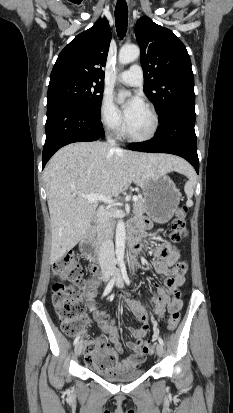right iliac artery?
Masks as SVG:
<instances>
[{"instance_id":"right-iliac-artery-1","label":"right iliac artery","mask_w":233,"mask_h":413,"mask_svg":"<svg viewBox=\"0 0 233 413\" xmlns=\"http://www.w3.org/2000/svg\"><path fill=\"white\" fill-rule=\"evenodd\" d=\"M115 279H116V276L114 275L113 278L109 281L108 285L106 286L105 291L103 293V297L111 292V290L114 286V283H115ZM79 339H80V336H77L75 338L74 345H76L78 343Z\"/></svg>"}]
</instances>
